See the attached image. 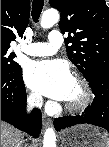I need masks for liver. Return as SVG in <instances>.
<instances>
[{
  "label": "liver",
  "instance_id": "6515ba94",
  "mask_svg": "<svg viewBox=\"0 0 109 147\" xmlns=\"http://www.w3.org/2000/svg\"><path fill=\"white\" fill-rule=\"evenodd\" d=\"M24 134L6 122H1V147H23Z\"/></svg>",
  "mask_w": 109,
  "mask_h": 147
}]
</instances>
